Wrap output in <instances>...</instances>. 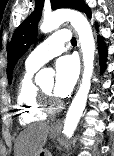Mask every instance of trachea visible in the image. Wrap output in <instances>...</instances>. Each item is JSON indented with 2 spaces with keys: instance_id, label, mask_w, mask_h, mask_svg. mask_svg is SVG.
<instances>
[{
  "instance_id": "3493384b",
  "label": "trachea",
  "mask_w": 114,
  "mask_h": 156,
  "mask_svg": "<svg viewBox=\"0 0 114 156\" xmlns=\"http://www.w3.org/2000/svg\"><path fill=\"white\" fill-rule=\"evenodd\" d=\"M71 43H72V44H76V43H77L76 38H72V39H71Z\"/></svg>"
}]
</instances>
